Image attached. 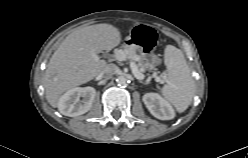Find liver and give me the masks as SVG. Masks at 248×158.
Returning a JSON list of instances; mask_svg holds the SVG:
<instances>
[{
	"label": "liver",
	"instance_id": "6515ba94",
	"mask_svg": "<svg viewBox=\"0 0 248 158\" xmlns=\"http://www.w3.org/2000/svg\"><path fill=\"white\" fill-rule=\"evenodd\" d=\"M121 41L119 30L110 24L81 27L70 33L53 53L43 77L46 99L58 107L62 94L94 79L107 65L98 57Z\"/></svg>",
	"mask_w": 248,
	"mask_h": 158
}]
</instances>
